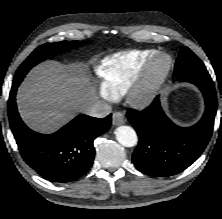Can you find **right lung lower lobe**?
Returning <instances> with one entry per match:
<instances>
[{
    "label": "right lung lower lobe",
    "instance_id": "right-lung-lower-lobe-1",
    "mask_svg": "<svg viewBox=\"0 0 222 219\" xmlns=\"http://www.w3.org/2000/svg\"><path fill=\"white\" fill-rule=\"evenodd\" d=\"M17 87V84L12 85L8 114L11 130L25 162L52 182H71L86 174L94 161L93 141L109 130L111 115L103 119L79 115L53 134H39L29 129L18 114Z\"/></svg>",
    "mask_w": 222,
    "mask_h": 219
}]
</instances>
